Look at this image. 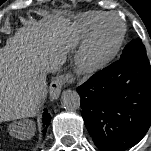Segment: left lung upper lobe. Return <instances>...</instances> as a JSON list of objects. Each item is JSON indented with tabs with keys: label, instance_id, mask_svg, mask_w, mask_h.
<instances>
[{
	"label": "left lung upper lobe",
	"instance_id": "1",
	"mask_svg": "<svg viewBox=\"0 0 151 151\" xmlns=\"http://www.w3.org/2000/svg\"><path fill=\"white\" fill-rule=\"evenodd\" d=\"M146 53L145 46L143 45L141 39L137 38L129 42L123 49L120 59L130 57L135 54Z\"/></svg>",
	"mask_w": 151,
	"mask_h": 151
}]
</instances>
